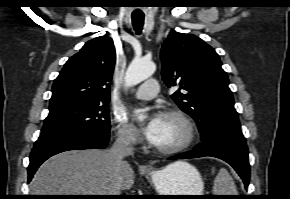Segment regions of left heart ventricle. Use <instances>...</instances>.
<instances>
[{"mask_svg":"<svg viewBox=\"0 0 290 199\" xmlns=\"http://www.w3.org/2000/svg\"><path fill=\"white\" fill-rule=\"evenodd\" d=\"M187 137L185 125L176 117L160 116V123L154 145L171 148L184 142Z\"/></svg>","mask_w":290,"mask_h":199,"instance_id":"1","label":"left heart ventricle"}]
</instances>
